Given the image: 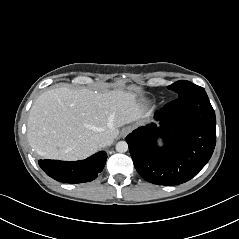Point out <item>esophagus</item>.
Returning a JSON list of instances; mask_svg holds the SVG:
<instances>
[{
	"instance_id": "esophagus-1",
	"label": "esophagus",
	"mask_w": 239,
	"mask_h": 239,
	"mask_svg": "<svg viewBox=\"0 0 239 239\" xmlns=\"http://www.w3.org/2000/svg\"><path fill=\"white\" fill-rule=\"evenodd\" d=\"M133 130V126L129 125V126H125L122 131H121V135L122 136H126L128 135L131 131Z\"/></svg>"
}]
</instances>
